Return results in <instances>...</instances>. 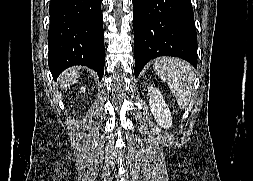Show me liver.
Here are the masks:
<instances>
[{
    "mask_svg": "<svg viewBox=\"0 0 253 181\" xmlns=\"http://www.w3.org/2000/svg\"><path fill=\"white\" fill-rule=\"evenodd\" d=\"M78 77H79V75H78L77 70L73 69V70H69V71L62 73L60 78H61V80L64 81L63 87L66 88V87H69L72 84V82Z\"/></svg>",
    "mask_w": 253,
    "mask_h": 181,
    "instance_id": "6515ba94",
    "label": "liver"
}]
</instances>
